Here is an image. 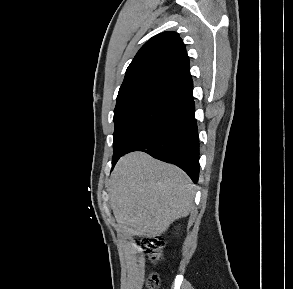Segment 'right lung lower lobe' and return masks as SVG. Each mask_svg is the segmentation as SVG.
Here are the masks:
<instances>
[{"mask_svg":"<svg viewBox=\"0 0 293 289\" xmlns=\"http://www.w3.org/2000/svg\"><path fill=\"white\" fill-rule=\"evenodd\" d=\"M193 99L150 125L113 155L112 168L125 153L143 151L183 169L194 183L199 178V138Z\"/></svg>","mask_w":293,"mask_h":289,"instance_id":"obj_1","label":"right lung lower lobe"}]
</instances>
